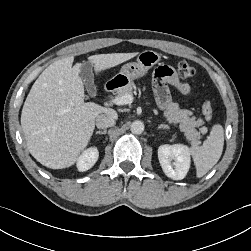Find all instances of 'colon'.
I'll use <instances>...</instances> for the list:
<instances>
[{
	"label": "colon",
	"mask_w": 251,
	"mask_h": 251,
	"mask_svg": "<svg viewBox=\"0 0 251 251\" xmlns=\"http://www.w3.org/2000/svg\"><path fill=\"white\" fill-rule=\"evenodd\" d=\"M178 74L181 78L188 79L194 76L195 69L188 62L181 61L177 66ZM202 113L207 121L212 119L213 108L209 99H206L202 103Z\"/></svg>",
	"instance_id": "1"
}]
</instances>
